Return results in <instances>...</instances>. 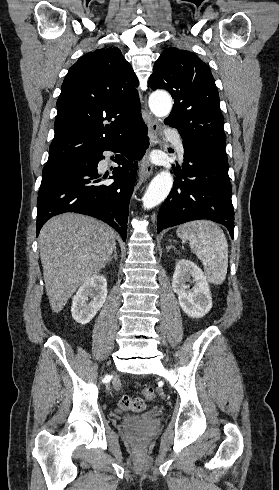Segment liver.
<instances>
[{
    "instance_id": "obj_1",
    "label": "liver",
    "mask_w": 279,
    "mask_h": 490,
    "mask_svg": "<svg viewBox=\"0 0 279 490\" xmlns=\"http://www.w3.org/2000/svg\"><path fill=\"white\" fill-rule=\"evenodd\" d=\"M110 226L81 214H60L44 224L38 238L50 308L63 310L77 288L105 268L116 246Z\"/></svg>"
}]
</instances>
